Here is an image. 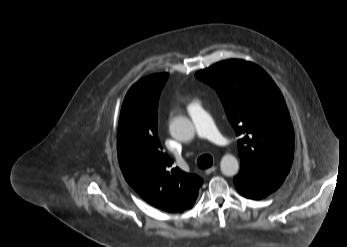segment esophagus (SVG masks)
Masks as SVG:
<instances>
[{
    "label": "esophagus",
    "instance_id": "obj_1",
    "mask_svg": "<svg viewBox=\"0 0 347 247\" xmlns=\"http://www.w3.org/2000/svg\"><path fill=\"white\" fill-rule=\"evenodd\" d=\"M216 169H217V166L214 165V166H212V167L206 169L205 173H206V174H210V173L216 171Z\"/></svg>",
    "mask_w": 347,
    "mask_h": 247
}]
</instances>
